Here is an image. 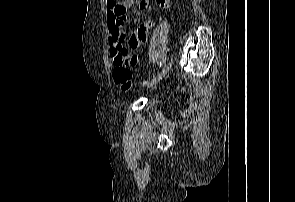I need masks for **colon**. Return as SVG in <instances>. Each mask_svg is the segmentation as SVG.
<instances>
[{"mask_svg": "<svg viewBox=\"0 0 295 202\" xmlns=\"http://www.w3.org/2000/svg\"><path fill=\"white\" fill-rule=\"evenodd\" d=\"M132 62L133 58H124L121 54H117L113 61L115 65L113 79L124 90L129 89L132 85V73L129 68Z\"/></svg>", "mask_w": 295, "mask_h": 202, "instance_id": "1", "label": "colon"}]
</instances>
